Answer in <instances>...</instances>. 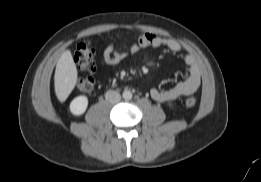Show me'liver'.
<instances>
[{
    "label": "liver",
    "mask_w": 261,
    "mask_h": 182,
    "mask_svg": "<svg viewBox=\"0 0 261 182\" xmlns=\"http://www.w3.org/2000/svg\"><path fill=\"white\" fill-rule=\"evenodd\" d=\"M77 83V68L70 50L59 58L54 76L55 93L60 102H64Z\"/></svg>",
    "instance_id": "liver-1"
}]
</instances>
